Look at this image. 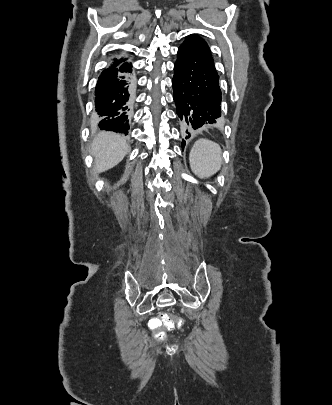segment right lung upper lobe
I'll return each mask as SVG.
<instances>
[{
  "instance_id": "1",
  "label": "right lung upper lobe",
  "mask_w": 332,
  "mask_h": 405,
  "mask_svg": "<svg viewBox=\"0 0 332 405\" xmlns=\"http://www.w3.org/2000/svg\"><path fill=\"white\" fill-rule=\"evenodd\" d=\"M126 59H124V58H121V59H114L113 60V64H120V63H122V62H124Z\"/></svg>"
}]
</instances>
